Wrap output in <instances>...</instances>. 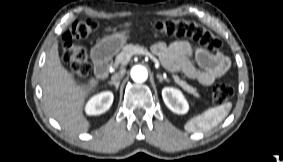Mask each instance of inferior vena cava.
Segmentation results:
<instances>
[{"instance_id": "inferior-vena-cava-1", "label": "inferior vena cava", "mask_w": 283, "mask_h": 162, "mask_svg": "<svg viewBox=\"0 0 283 162\" xmlns=\"http://www.w3.org/2000/svg\"><path fill=\"white\" fill-rule=\"evenodd\" d=\"M125 73H126V70L122 69L119 72H117L114 75H112V77H111L112 82H114V83L120 82V80L123 78Z\"/></svg>"}]
</instances>
